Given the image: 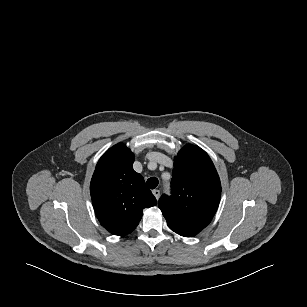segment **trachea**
<instances>
[{"label": "trachea", "mask_w": 307, "mask_h": 307, "mask_svg": "<svg viewBox=\"0 0 307 307\" xmlns=\"http://www.w3.org/2000/svg\"><path fill=\"white\" fill-rule=\"evenodd\" d=\"M159 181L157 178L155 177H151L147 180V186L150 188V189H155L158 185Z\"/></svg>", "instance_id": "1"}]
</instances>
